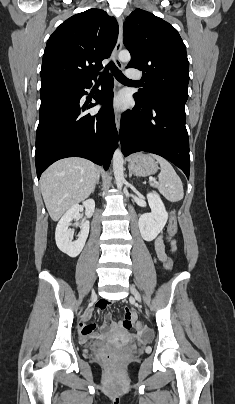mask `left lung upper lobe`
<instances>
[{
  "label": "left lung upper lobe",
  "instance_id": "1",
  "mask_svg": "<svg viewBox=\"0 0 235 404\" xmlns=\"http://www.w3.org/2000/svg\"><path fill=\"white\" fill-rule=\"evenodd\" d=\"M124 45L131 53L128 68L143 71L144 88L134 97L142 102L170 98L186 102L189 62L177 30L150 12L136 9L124 25Z\"/></svg>",
  "mask_w": 235,
  "mask_h": 404
}]
</instances>
